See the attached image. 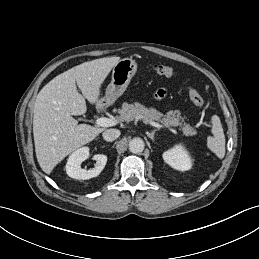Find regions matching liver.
<instances>
[{
  "label": "liver",
  "mask_w": 259,
  "mask_h": 259,
  "mask_svg": "<svg viewBox=\"0 0 259 259\" xmlns=\"http://www.w3.org/2000/svg\"><path fill=\"white\" fill-rule=\"evenodd\" d=\"M119 60L120 57L100 58L77 65L53 78L38 93L33 135L37 161L46 174L104 130L88 124L78 125L72 116L86 113L85 99L102 105L101 85Z\"/></svg>",
  "instance_id": "liver-1"
}]
</instances>
